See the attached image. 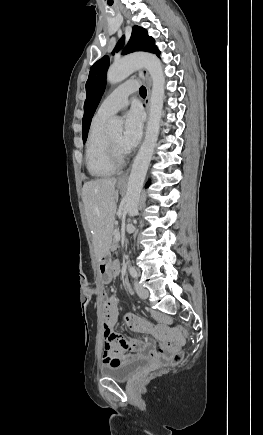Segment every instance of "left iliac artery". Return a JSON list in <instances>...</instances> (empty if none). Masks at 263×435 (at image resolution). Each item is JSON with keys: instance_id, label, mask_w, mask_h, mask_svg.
I'll list each match as a JSON object with an SVG mask.
<instances>
[{"instance_id": "obj_1", "label": "left iliac artery", "mask_w": 263, "mask_h": 435, "mask_svg": "<svg viewBox=\"0 0 263 435\" xmlns=\"http://www.w3.org/2000/svg\"><path fill=\"white\" fill-rule=\"evenodd\" d=\"M129 272H130V274H131V276L132 277H134V278H136L137 277V271H136V269H135V267H133V266H131L130 268H129Z\"/></svg>"}]
</instances>
